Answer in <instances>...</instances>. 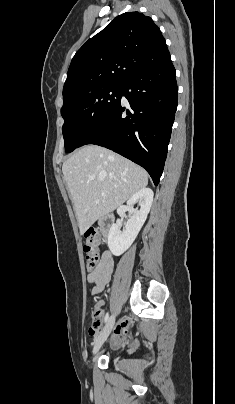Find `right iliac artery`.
<instances>
[{
	"label": "right iliac artery",
	"mask_w": 235,
	"mask_h": 404,
	"mask_svg": "<svg viewBox=\"0 0 235 404\" xmlns=\"http://www.w3.org/2000/svg\"><path fill=\"white\" fill-rule=\"evenodd\" d=\"M109 319H110V318H109V314L107 313L106 316H105V323H106L107 321H109Z\"/></svg>",
	"instance_id": "right-iliac-artery-1"
}]
</instances>
